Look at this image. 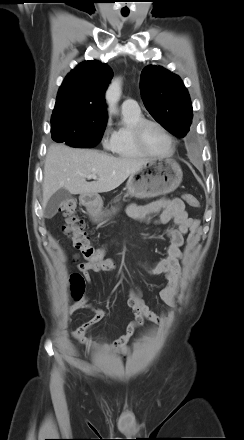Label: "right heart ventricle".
Instances as JSON below:
<instances>
[{"mask_svg":"<svg viewBox=\"0 0 244 440\" xmlns=\"http://www.w3.org/2000/svg\"><path fill=\"white\" fill-rule=\"evenodd\" d=\"M124 125L117 127L112 133L110 151L120 157H143V154L134 144L131 136V128L137 121L143 119L141 111H122Z\"/></svg>","mask_w":244,"mask_h":440,"instance_id":"e07e8e85","label":"right heart ventricle"}]
</instances>
